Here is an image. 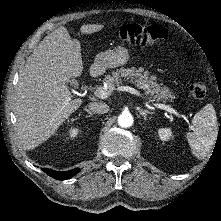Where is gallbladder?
Returning a JSON list of instances; mask_svg holds the SVG:
<instances>
[{"label": "gallbladder", "instance_id": "gallbladder-1", "mask_svg": "<svg viewBox=\"0 0 221 221\" xmlns=\"http://www.w3.org/2000/svg\"><path fill=\"white\" fill-rule=\"evenodd\" d=\"M71 84L74 86H77V81L76 80H71Z\"/></svg>", "mask_w": 221, "mask_h": 221}]
</instances>
